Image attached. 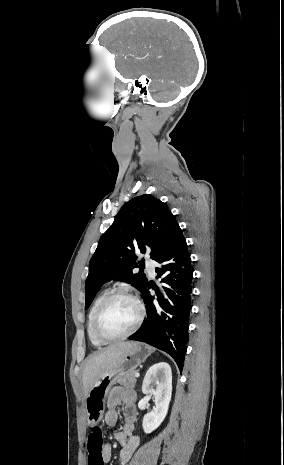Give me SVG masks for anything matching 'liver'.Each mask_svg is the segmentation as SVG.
Returning <instances> with one entry per match:
<instances>
[{
	"label": "liver",
	"mask_w": 284,
	"mask_h": 465,
	"mask_svg": "<svg viewBox=\"0 0 284 465\" xmlns=\"http://www.w3.org/2000/svg\"><path fill=\"white\" fill-rule=\"evenodd\" d=\"M133 343H117L107 349H103L97 355H91L88 359L82 373V385L84 395L87 397L94 383L98 381L101 375H106L111 369H116L120 365L125 353L132 349Z\"/></svg>",
	"instance_id": "1"
}]
</instances>
